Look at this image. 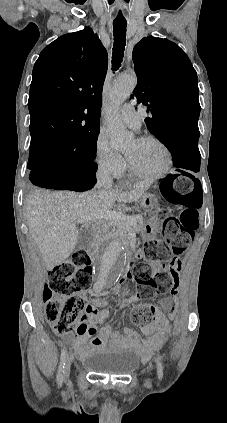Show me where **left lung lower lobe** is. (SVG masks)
Returning a JSON list of instances; mask_svg holds the SVG:
<instances>
[{"label": "left lung lower lobe", "mask_w": 227, "mask_h": 423, "mask_svg": "<svg viewBox=\"0 0 227 423\" xmlns=\"http://www.w3.org/2000/svg\"><path fill=\"white\" fill-rule=\"evenodd\" d=\"M199 131H189L183 135L170 136L161 140L169 149L173 157L175 167L198 172L200 170V152L198 149ZM184 174L193 180L195 178L188 174Z\"/></svg>", "instance_id": "left-lung-lower-lobe-1"}]
</instances>
